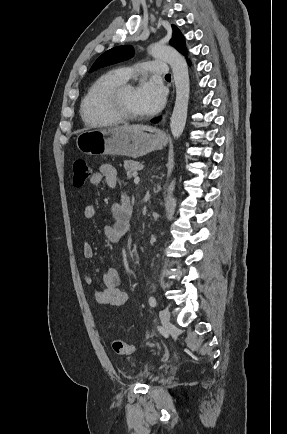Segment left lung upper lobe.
Returning <instances> with one entry per match:
<instances>
[{
    "mask_svg": "<svg viewBox=\"0 0 287 434\" xmlns=\"http://www.w3.org/2000/svg\"><path fill=\"white\" fill-rule=\"evenodd\" d=\"M173 28V36L170 40V44L176 48L179 52L182 54H186V47H185V38L182 35V33L179 31V29L172 25ZM134 55V49L130 45H124V46H118L114 47L105 53H103L92 65L90 72H93L101 67L118 63L121 61H124L126 59L131 58Z\"/></svg>",
    "mask_w": 287,
    "mask_h": 434,
    "instance_id": "1",
    "label": "left lung upper lobe"
}]
</instances>
